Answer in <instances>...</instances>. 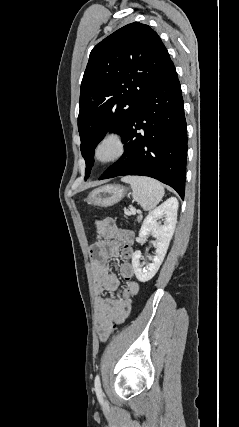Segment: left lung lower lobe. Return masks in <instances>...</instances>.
Listing matches in <instances>:
<instances>
[{
    "instance_id": "1",
    "label": "left lung lower lobe",
    "mask_w": 239,
    "mask_h": 427,
    "mask_svg": "<svg viewBox=\"0 0 239 427\" xmlns=\"http://www.w3.org/2000/svg\"><path fill=\"white\" fill-rule=\"evenodd\" d=\"M123 142L122 158L99 180L124 175L149 176L171 186L184 198L187 129L174 66L140 100L123 134Z\"/></svg>"
}]
</instances>
